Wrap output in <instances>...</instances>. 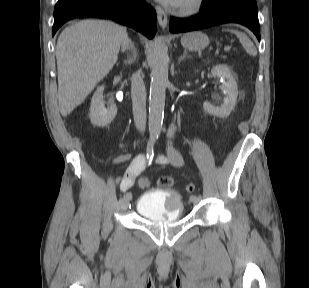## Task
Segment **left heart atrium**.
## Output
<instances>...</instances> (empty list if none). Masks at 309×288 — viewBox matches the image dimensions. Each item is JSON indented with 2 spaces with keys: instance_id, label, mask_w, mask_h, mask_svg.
<instances>
[{
  "instance_id": "obj_1",
  "label": "left heart atrium",
  "mask_w": 309,
  "mask_h": 288,
  "mask_svg": "<svg viewBox=\"0 0 309 288\" xmlns=\"http://www.w3.org/2000/svg\"><path fill=\"white\" fill-rule=\"evenodd\" d=\"M159 1L171 7H177L181 2V0H159Z\"/></svg>"
}]
</instances>
